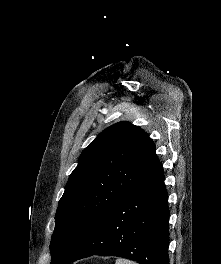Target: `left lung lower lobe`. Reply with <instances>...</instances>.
<instances>
[{"mask_svg": "<svg viewBox=\"0 0 221 264\" xmlns=\"http://www.w3.org/2000/svg\"><path fill=\"white\" fill-rule=\"evenodd\" d=\"M168 194L162 163L147 174L65 258L119 256L140 264H169Z\"/></svg>", "mask_w": 221, "mask_h": 264, "instance_id": "0a47b994", "label": "left lung lower lobe"}]
</instances>
